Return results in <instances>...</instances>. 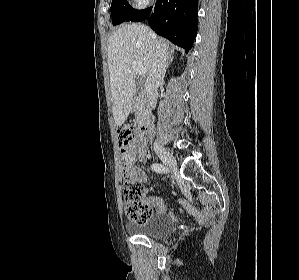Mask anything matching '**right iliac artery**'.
Listing matches in <instances>:
<instances>
[{"mask_svg": "<svg viewBox=\"0 0 299 280\" xmlns=\"http://www.w3.org/2000/svg\"><path fill=\"white\" fill-rule=\"evenodd\" d=\"M151 168L153 171L157 172V173H165L166 172V168L164 165L159 164V163H154L151 165Z\"/></svg>", "mask_w": 299, "mask_h": 280, "instance_id": "82829eb1", "label": "right iliac artery"}]
</instances>
